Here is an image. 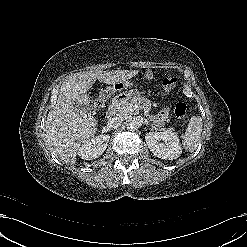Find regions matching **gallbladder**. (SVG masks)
Segmentation results:
<instances>
[{"label": "gallbladder", "mask_w": 247, "mask_h": 247, "mask_svg": "<svg viewBox=\"0 0 247 247\" xmlns=\"http://www.w3.org/2000/svg\"><path fill=\"white\" fill-rule=\"evenodd\" d=\"M77 106H78V108H82V109L86 108L88 111H91L92 110L91 107H85V106H79V105H77Z\"/></svg>", "instance_id": "gallbladder-1"}]
</instances>
